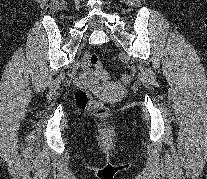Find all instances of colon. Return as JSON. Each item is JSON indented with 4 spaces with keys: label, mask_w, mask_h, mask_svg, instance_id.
<instances>
[{
    "label": "colon",
    "mask_w": 207,
    "mask_h": 179,
    "mask_svg": "<svg viewBox=\"0 0 207 179\" xmlns=\"http://www.w3.org/2000/svg\"><path fill=\"white\" fill-rule=\"evenodd\" d=\"M87 62L90 66L95 68V71L101 81H106L109 78L108 72L101 66L99 58L96 54H89ZM122 84H129L131 82V76L129 74H123L120 78ZM75 101L79 109L89 110L92 109L98 116H104L109 113L108 109L101 103L96 101L91 92L86 89H79L75 94Z\"/></svg>",
    "instance_id": "1"
}]
</instances>
